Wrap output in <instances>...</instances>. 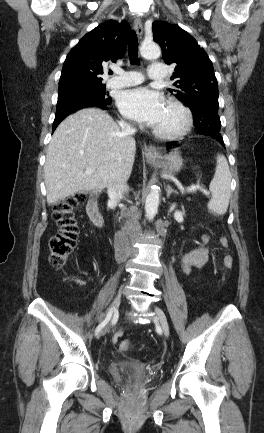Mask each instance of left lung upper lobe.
<instances>
[{
  "label": "left lung upper lobe",
  "instance_id": "5c2ea615",
  "mask_svg": "<svg viewBox=\"0 0 264 433\" xmlns=\"http://www.w3.org/2000/svg\"><path fill=\"white\" fill-rule=\"evenodd\" d=\"M154 40L161 46L167 64H176L170 92L195 110L199 106H219L218 85L212 62L196 40L178 25L155 21Z\"/></svg>",
  "mask_w": 264,
  "mask_h": 433
}]
</instances>
